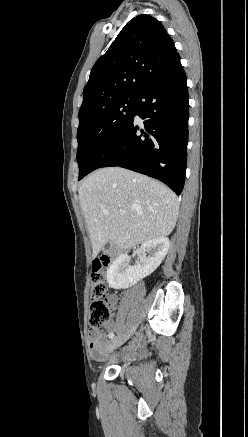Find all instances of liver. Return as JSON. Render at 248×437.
I'll list each match as a JSON object with an SVG mask.
<instances>
[{"label":"liver","mask_w":248,"mask_h":437,"mask_svg":"<svg viewBox=\"0 0 248 437\" xmlns=\"http://www.w3.org/2000/svg\"><path fill=\"white\" fill-rule=\"evenodd\" d=\"M78 193L93 257L107 243L120 250L130 249L168 236L176 225L179 201L174 192L130 170L101 168L81 184Z\"/></svg>","instance_id":"obj_1"}]
</instances>
